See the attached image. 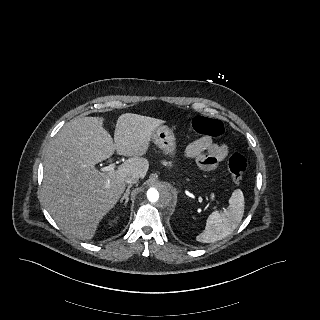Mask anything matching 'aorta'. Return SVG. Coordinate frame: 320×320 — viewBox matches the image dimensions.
Instances as JSON below:
<instances>
[{"label": "aorta", "mask_w": 320, "mask_h": 320, "mask_svg": "<svg viewBox=\"0 0 320 320\" xmlns=\"http://www.w3.org/2000/svg\"><path fill=\"white\" fill-rule=\"evenodd\" d=\"M145 200L155 212L162 213L173 201V192L168 184L155 182L146 192Z\"/></svg>", "instance_id": "762f6f07"}]
</instances>
